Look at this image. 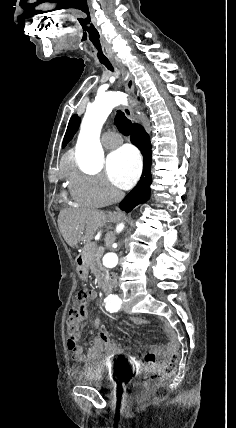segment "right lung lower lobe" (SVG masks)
<instances>
[{
    "label": "right lung lower lobe",
    "instance_id": "1",
    "mask_svg": "<svg viewBox=\"0 0 236 428\" xmlns=\"http://www.w3.org/2000/svg\"><path fill=\"white\" fill-rule=\"evenodd\" d=\"M131 142L140 149L144 157V165L140 182L137 183L119 205L120 209L126 212H130L135 206L147 202L150 197V184L152 183L150 171L152 155L150 138L142 126L138 124L133 125Z\"/></svg>",
    "mask_w": 236,
    "mask_h": 428
}]
</instances>
